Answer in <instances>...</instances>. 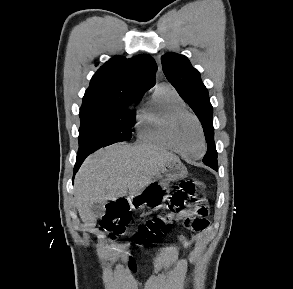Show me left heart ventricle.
I'll list each match as a JSON object with an SVG mask.
<instances>
[{"instance_id": "b2bd125f", "label": "left heart ventricle", "mask_w": 293, "mask_h": 289, "mask_svg": "<svg viewBox=\"0 0 293 289\" xmlns=\"http://www.w3.org/2000/svg\"><path fill=\"white\" fill-rule=\"evenodd\" d=\"M176 141L179 148L189 156H197L202 149V139L195 121L184 117L176 125Z\"/></svg>"}]
</instances>
